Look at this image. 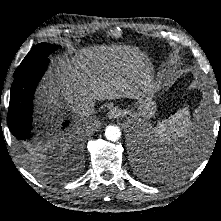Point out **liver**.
Returning <instances> with one entry per match:
<instances>
[{"mask_svg": "<svg viewBox=\"0 0 221 221\" xmlns=\"http://www.w3.org/2000/svg\"><path fill=\"white\" fill-rule=\"evenodd\" d=\"M138 47L99 46L83 48L68 58H55V76L49 74L39 89L38 105L47 116L74 110L82 98L113 100L132 97L144 64ZM56 78V79H55ZM38 144L46 152L50 142Z\"/></svg>", "mask_w": 221, "mask_h": 221, "instance_id": "6515ba94", "label": "liver"}]
</instances>
